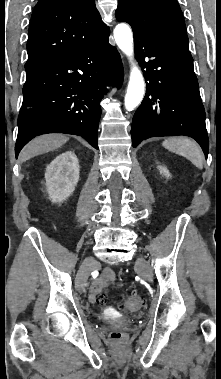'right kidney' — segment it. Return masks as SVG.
Listing matches in <instances>:
<instances>
[{"label": "right kidney", "instance_id": "right-kidney-1", "mask_svg": "<svg viewBox=\"0 0 221 379\" xmlns=\"http://www.w3.org/2000/svg\"><path fill=\"white\" fill-rule=\"evenodd\" d=\"M79 171L77 156L72 151L58 155L47 166L46 190L51 202L61 203L74 192L79 180Z\"/></svg>", "mask_w": 221, "mask_h": 379}]
</instances>
